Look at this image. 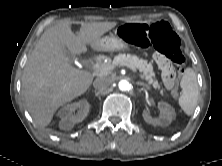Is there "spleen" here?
I'll return each mask as SVG.
<instances>
[{
    "label": "spleen",
    "mask_w": 222,
    "mask_h": 166,
    "mask_svg": "<svg viewBox=\"0 0 222 166\" xmlns=\"http://www.w3.org/2000/svg\"><path fill=\"white\" fill-rule=\"evenodd\" d=\"M182 95L179 97V106L187 114L191 115L198 101L199 87L197 77L192 68H186L180 82Z\"/></svg>",
    "instance_id": "3e777b00"
}]
</instances>
